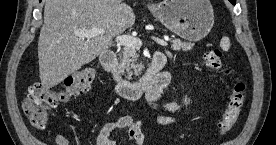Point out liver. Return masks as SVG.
<instances>
[{"mask_svg": "<svg viewBox=\"0 0 276 145\" xmlns=\"http://www.w3.org/2000/svg\"><path fill=\"white\" fill-rule=\"evenodd\" d=\"M135 15L122 0H46L38 40L39 73L44 89L61 83L111 47L113 38L133 26ZM100 28L85 38L76 31Z\"/></svg>", "mask_w": 276, "mask_h": 145, "instance_id": "1", "label": "liver"}]
</instances>
